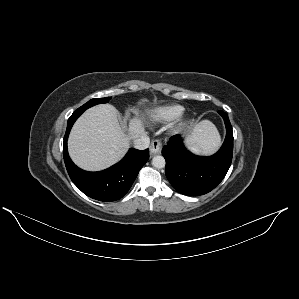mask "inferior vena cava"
I'll return each instance as SVG.
<instances>
[{"mask_svg":"<svg viewBox=\"0 0 299 299\" xmlns=\"http://www.w3.org/2000/svg\"><path fill=\"white\" fill-rule=\"evenodd\" d=\"M150 139L147 135H141L133 140V146L136 149L144 150L149 147Z\"/></svg>","mask_w":299,"mask_h":299,"instance_id":"obj_1","label":"inferior vena cava"}]
</instances>
